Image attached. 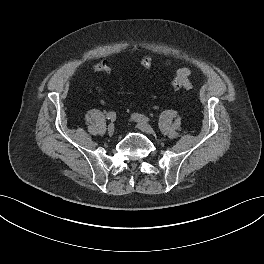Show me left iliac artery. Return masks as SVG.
<instances>
[{"instance_id":"44dca946","label":"left iliac artery","mask_w":264,"mask_h":264,"mask_svg":"<svg viewBox=\"0 0 264 264\" xmlns=\"http://www.w3.org/2000/svg\"><path fill=\"white\" fill-rule=\"evenodd\" d=\"M132 118L136 121H143V122H148L150 121V118H148L147 116L143 115V114H139V113H134L132 115Z\"/></svg>"}]
</instances>
